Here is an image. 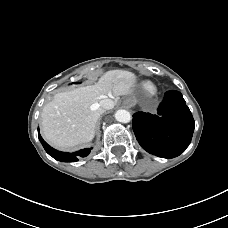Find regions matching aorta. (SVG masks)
I'll return each instance as SVG.
<instances>
[{"label": "aorta", "mask_w": 228, "mask_h": 228, "mask_svg": "<svg viewBox=\"0 0 228 228\" xmlns=\"http://www.w3.org/2000/svg\"><path fill=\"white\" fill-rule=\"evenodd\" d=\"M115 119L121 123H128L131 120V114L129 111L120 109L115 113Z\"/></svg>", "instance_id": "aorta-1"}]
</instances>
